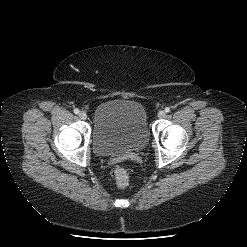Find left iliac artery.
<instances>
[{"label":"left iliac artery","instance_id":"obj_1","mask_svg":"<svg viewBox=\"0 0 247 247\" xmlns=\"http://www.w3.org/2000/svg\"><path fill=\"white\" fill-rule=\"evenodd\" d=\"M165 112H166V113L170 112V108H169V107H166V108H165Z\"/></svg>","mask_w":247,"mask_h":247}]
</instances>
